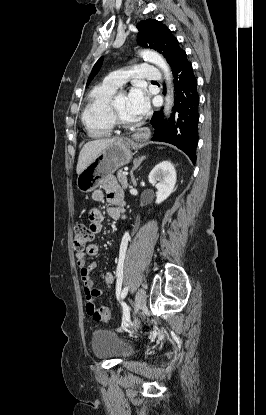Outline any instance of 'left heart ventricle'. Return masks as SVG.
Instances as JSON below:
<instances>
[{
	"label": "left heart ventricle",
	"mask_w": 266,
	"mask_h": 415,
	"mask_svg": "<svg viewBox=\"0 0 266 415\" xmlns=\"http://www.w3.org/2000/svg\"><path fill=\"white\" fill-rule=\"evenodd\" d=\"M115 106H116V109L119 115L125 121L134 122L139 119V117L133 114L132 111L130 110L129 104H128V96L125 93L117 96L115 100Z\"/></svg>",
	"instance_id": "obj_1"
}]
</instances>
